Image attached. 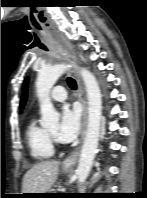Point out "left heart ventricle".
I'll return each instance as SVG.
<instances>
[{
  "label": "left heart ventricle",
  "instance_id": "1",
  "mask_svg": "<svg viewBox=\"0 0 147 198\" xmlns=\"http://www.w3.org/2000/svg\"><path fill=\"white\" fill-rule=\"evenodd\" d=\"M56 130H57V127L56 126H53L51 128H49V132H51L53 135L56 133Z\"/></svg>",
  "mask_w": 147,
  "mask_h": 198
}]
</instances>
